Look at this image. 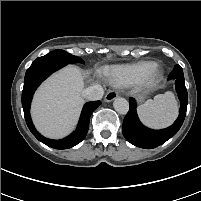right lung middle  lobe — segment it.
<instances>
[{
  "label": "right lung middle lobe",
  "instance_id": "obj_1",
  "mask_svg": "<svg viewBox=\"0 0 201 201\" xmlns=\"http://www.w3.org/2000/svg\"><path fill=\"white\" fill-rule=\"evenodd\" d=\"M49 54L61 55L63 58H66L69 61V63H84V61L81 58H79L77 56H73L64 50L51 51V52H49Z\"/></svg>",
  "mask_w": 201,
  "mask_h": 201
}]
</instances>
